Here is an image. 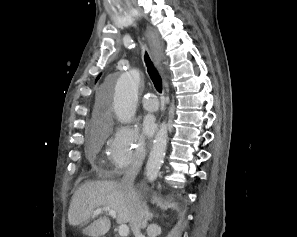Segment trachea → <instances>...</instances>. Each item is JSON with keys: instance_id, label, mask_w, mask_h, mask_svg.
<instances>
[{"instance_id": "obj_1", "label": "trachea", "mask_w": 297, "mask_h": 237, "mask_svg": "<svg viewBox=\"0 0 297 237\" xmlns=\"http://www.w3.org/2000/svg\"><path fill=\"white\" fill-rule=\"evenodd\" d=\"M144 59H145V63L147 66V72H148L156 90L159 93H161L162 92V79H161L157 69L155 68V66H154L153 62L151 61L147 52H145Z\"/></svg>"}]
</instances>
